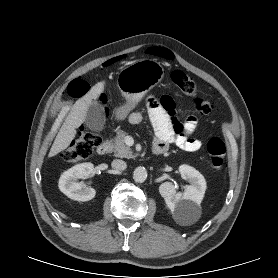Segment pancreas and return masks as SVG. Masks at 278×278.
<instances>
[{"instance_id": "cf45deb5", "label": "pancreas", "mask_w": 278, "mask_h": 278, "mask_svg": "<svg viewBox=\"0 0 278 278\" xmlns=\"http://www.w3.org/2000/svg\"><path fill=\"white\" fill-rule=\"evenodd\" d=\"M127 133L123 130H119L117 132V136L114 139L112 152H114V155L116 157L121 158H133V151L130 147H128L125 142L124 138L126 137Z\"/></svg>"}]
</instances>
